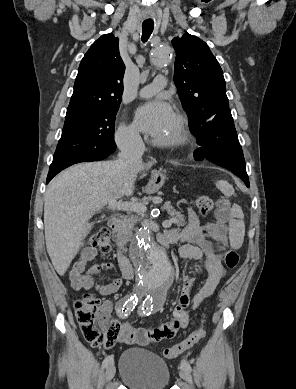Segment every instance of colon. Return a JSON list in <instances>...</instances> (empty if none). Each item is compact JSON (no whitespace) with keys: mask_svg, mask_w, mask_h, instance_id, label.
I'll use <instances>...</instances> for the list:
<instances>
[{"mask_svg":"<svg viewBox=\"0 0 296 389\" xmlns=\"http://www.w3.org/2000/svg\"><path fill=\"white\" fill-rule=\"evenodd\" d=\"M197 207L201 215L206 216L213 208V201L207 195H202L197 200ZM89 245L106 254L111 249L109 232L105 228L98 229L89 238ZM218 247L224 251V261L229 269H234L239 264V254L224 247L223 240L218 242ZM75 315L85 340L94 346L112 348L119 336L120 326L109 317L108 310L102 305L99 299L90 293L83 294L74 302ZM205 329L202 324L196 328L183 342L166 348L163 351L164 357L174 359L179 357L186 350L193 347L205 336Z\"/></svg>","mask_w":296,"mask_h":389,"instance_id":"colon-1","label":"colon"}]
</instances>
